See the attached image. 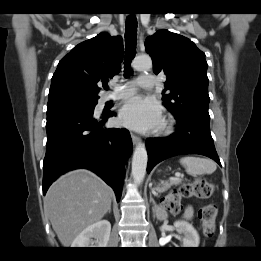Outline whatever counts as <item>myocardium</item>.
<instances>
[{
    "mask_svg": "<svg viewBox=\"0 0 261 261\" xmlns=\"http://www.w3.org/2000/svg\"><path fill=\"white\" fill-rule=\"evenodd\" d=\"M172 127V120L171 119H166L163 123V129L165 131H169Z\"/></svg>",
    "mask_w": 261,
    "mask_h": 261,
    "instance_id": "f54148a6",
    "label": "myocardium"
}]
</instances>
